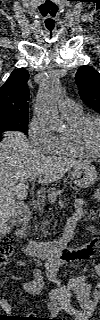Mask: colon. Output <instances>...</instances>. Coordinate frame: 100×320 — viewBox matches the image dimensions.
Instances as JSON below:
<instances>
[{"instance_id":"colon-1","label":"colon","mask_w":100,"mask_h":320,"mask_svg":"<svg viewBox=\"0 0 100 320\" xmlns=\"http://www.w3.org/2000/svg\"><path fill=\"white\" fill-rule=\"evenodd\" d=\"M86 250L82 251L81 253H76L73 251L67 252L66 262L75 261L77 259H87L94 255L95 253V242L85 245ZM14 251V240L11 236H4L1 240L0 246V263L6 264L10 256L13 254ZM52 320H61L59 318H55Z\"/></svg>"}]
</instances>
